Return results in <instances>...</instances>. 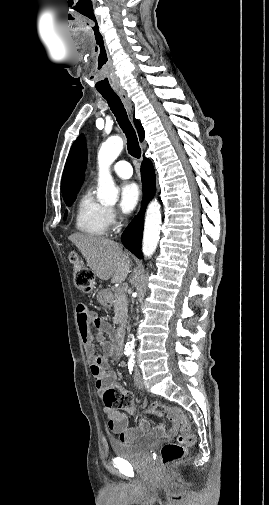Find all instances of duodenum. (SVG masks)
I'll list each match as a JSON object with an SVG mask.
<instances>
[{
  "label": "duodenum",
  "mask_w": 269,
  "mask_h": 505,
  "mask_svg": "<svg viewBox=\"0 0 269 505\" xmlns=\"http://www.w3.org/2000/svg\"><path fill=\"white\" fill-rule=\"evenodd\" d=\"M104 302L106 305H110V302L107 297H104ZM115 341L118 344L120 348L123 347L124 345V337H125V326L124 324H121L115 331L114 334Z\"/></svg>",
  "instance_id": "410a0bca"
}]
</instances>
